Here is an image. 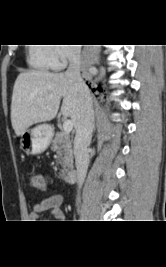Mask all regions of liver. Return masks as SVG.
I'll list each match as a JSON object with an SVG mask.
<instances>
[{
	"label": "liver",
	"mask_w": 166,
	"mask_h": 267,
	"mask_svg": "<svg viewBox=\"0 0 166 267\" xmlns=\"http://www.w3.org/2000/svg\"><path fill=\"white\" fill-rule=\"evenodd\" d=\"M61 99L62 115L70 117L77 128L84 99L65 73H20L14 84L11 102V122L15 134L21 136L30 126L54 119Z\"/></svg>",
	"instance_id": "liver-1"
}]
</instances>
